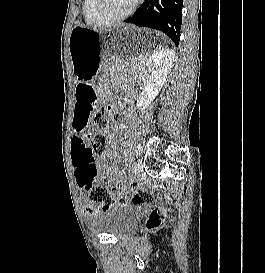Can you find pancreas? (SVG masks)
I'll list each match as a JSON object with an SVG mask.
<instances>
[{"label": "pancreas", "mask_w": 265, "mask_h": 273, "mask_svg": "<svg viewBox=\"0 0 265 273\" xmlns=\"http://www.w3.org/2000/svg\"><path fill=\"white\" fill-rule=\"evenodd\" d=\"M128 60H129V62H131V64L144 62V59L141 56L134 58V59H128Z\"/></svg>", "instance_id": "pancreas-1"}]
</instances>
